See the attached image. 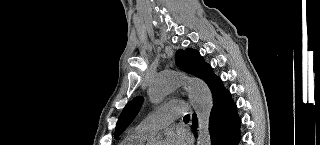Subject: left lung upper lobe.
<instances>
[{"label":"left lung upper lobe","mask_w":320,"mask_h":145,"mask_svg":"<svg viewBox=\"0 0 320 145\" xmlns=\"http://www.w3.org/2000/svg\"><path fill=\"white\" fill-rule=\"evenodd\" d=\"M176 65L183 71L198 76L206 65L194 49L178 50L175 57ZM143 97L138 96L128 103L123 109L115 130V137H119L138 114L143 103Z\"/></svg>","instance_id":"left-lung-upper-lobe-1"}]
</instances>
